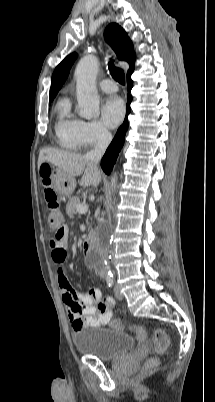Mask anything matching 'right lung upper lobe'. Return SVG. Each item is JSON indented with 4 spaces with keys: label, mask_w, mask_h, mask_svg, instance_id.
I'll return each mask as SVG.
<instances>
[{
    "label": "right lung upper lobe",
    "mask_w": 215,
    "mask_h": 402,
    "mask_svg": "<svg viewBox=\"0 0 215 402\" xmlns=\"http://www.w3.org/2000/svg\"><path fill=\"white\" fill-rule=\"evenodd\" d=\"M104 37L113 48L117 57L120 60H124L129 63L130 68L127 76L131 75L134 70L135 53L133 52V44L126 32L118 24L111 23L106 27ZM76 57V53L68 55L55 68L52 75L50 97H55L62 87V84L65 82Z\"/></svg>",
    "instance_id": "1"
}]
</instances>
